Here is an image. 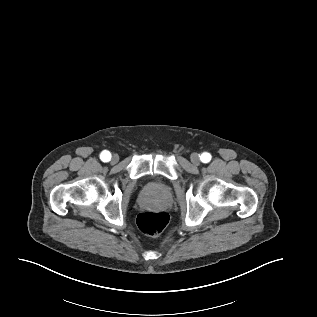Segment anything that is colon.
<instances>
[{
  "mask_svg": "<svg viewBox=\"0 0 317 317\" xmlns=\"http://www.w3.org/2000/svg\"><path fill=\"white\" fill-rule=\"evenodd\" d=\"M169 222V216L164 211L142 212L137 217L138 228L146 235L156 237L160 235Z\"/></svg>",
  "mask_w": 317,
  "mask_h": 317,
  "instance_id": "obj_1",
  "label": "colon"
}]
</instances>
